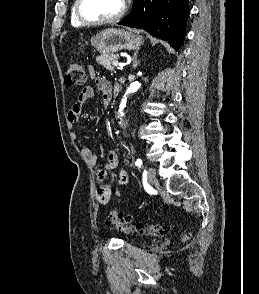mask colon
Listing matches in <instances>:
<instances>
[{
	"label": "colon",
	"instance_id": "5ec220e1",
	"mask_svg": "<svg viewBox=\"0 0 259 294\" xmlns=\"http://www.w3.org/2000/svg\"><path fill=\"white\" fill-rule=\"evenodd\" d=\"M85 81L86 73L82 64L78 61H71L65 73V83L69 86H81ZM106 224L126 234H162L166 231V228L159 224L148 227L134 224L117 209H113L108 213Z\"/></svg>",
	"mask_w": 259,
	"mask_h": 294
}]
</instances>
